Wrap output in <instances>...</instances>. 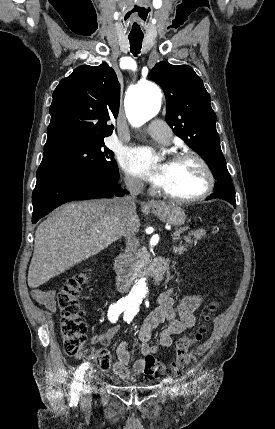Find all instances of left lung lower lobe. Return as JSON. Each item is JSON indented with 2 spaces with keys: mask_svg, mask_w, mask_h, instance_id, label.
<instances>
[{
  "mask_svg": "<svg viewBox=\"0 0 275 429\" xmlns=\"http://www.w3.org/2000/svg\"><path fill=\"white\" fill-rule=\"evenodd\" d=\"M212 198H219V199L226 200L230 202L234 206V208H236L235 198L231 197V195L228 193L215 191L210 197L207 198V200Z\"/></svg>",
  "mask_w": 275,
  "mask_h": 429,
  "instance_id": "1",
  "label": "left lung lower lobe"
}]
</instances>
